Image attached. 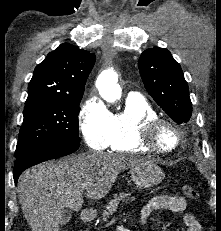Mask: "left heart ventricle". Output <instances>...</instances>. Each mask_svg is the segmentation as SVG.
I'll use <instances>...</instances> for the list:
<instances>
[{"label": "left heart ventricle", "instance_id": "left-heart-ventricle-1", "mask_svg": "<svg viewBox=\"0 0 221 231\" xmlns=\"http://www.w3.org/2000/svg\"><path fill=\"white\" fill-rule=\"evenodd\" d=\"M157 141L161 147L168 148L175 141L174 133L170 129L164 128L159 132Z\"/></svg>", "mask_w": 221, "mask_h": 231}]
</instances>
